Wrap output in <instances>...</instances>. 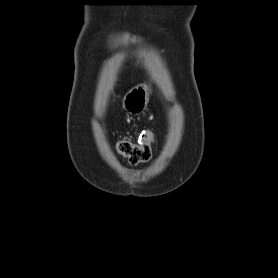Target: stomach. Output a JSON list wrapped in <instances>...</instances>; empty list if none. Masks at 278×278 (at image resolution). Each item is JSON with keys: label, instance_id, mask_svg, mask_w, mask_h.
I'll list each match as a JSON object with an SVG mask.
<instances>
[{"label": "stomach", "instance_id": "stomach-1", "mask_svg": "<svg viewBox=\"0 0 278 278\" xmlns=\"http://www.w3.org/2000/svg\"><path fill=\"white\" fill-rule=\"evenodd\" d=\"M150 91L146 84H138L131 88L123 97V109L131 116L140 115L147 109Z\"/></svg>", "mask_w": 278, "mask_h": 278}]
</instances>
